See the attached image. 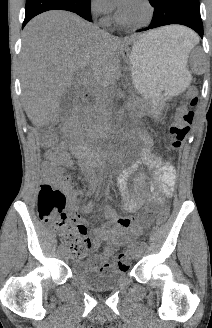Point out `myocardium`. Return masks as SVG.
Wrapping results in <instances>:
<instances>
[{
    "instance_id": "f54148a6",
    "label": "myocardium",
    "mask_w": 212,
    "mask_h": 328,
    "mask_svg": "<svg viewBox=\"0 0 212 328\" xmlns=\"http://www.w3.org/2000/svg\"><path fill=\"white\" fill-rule=\"evenodd\" d=\"M139 2L142 3V5L145 7L146 12H147L146 17H145L146 18L145 21L144 22L129 21L123 16L122 12H120L118 14V20L122 25H124L128 28L139 29V28L144 27L145 24L147 22H149L150 19L153 17L154 8H153V5L150 2V0H139Z\"/></svg>"
}]
</instances>
